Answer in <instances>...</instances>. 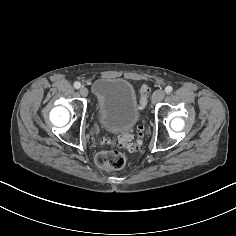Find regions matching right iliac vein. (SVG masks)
<instances>
[{
  "instance_id": "obj_1",
  "label": "right iliac vein",
  "mask_w": 236,
  "mask_h": 236,
  "mask_svg": "<svg viewBox=\"0 0 236 236\" xmlns=\"http://www.w3.org/2000/svg\"><path fill=\"white\" fill-rule=\"evenodd\" d=\"M79 92H80L81 96H83V97H86L88 95V93H89V91H88V89L86 87L80 88Z\"/></svg>"
}]
</instances>
